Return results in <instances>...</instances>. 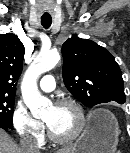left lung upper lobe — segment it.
<instances>
[{"label": "left lung upper lobe", "mask_w": 130, "mask_h": 153, "mask_svg": "<svg viewBox=\"0 0 130 153\" xmlns=\"http://www.w3.org/2000/svg\"><path fill=\"white\" fill-rule=\"evenodd\" d=\"M63 81L85 106L125 102L121 70L107 49L73 35L62 46Z\"/></svg>", "instance_id": "left-lung-upper-lobe-1"}]
</instances>
